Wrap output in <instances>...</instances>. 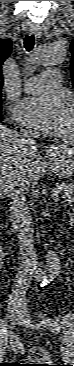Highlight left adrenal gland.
I'll return each instance as SVG.
<instances>
[{
    "label": "left adrenal gland",
    "instance_id": "left-adrenal-gland-1",
    "mask_svg": "<svg viewBox=\"0 0 74 366\" xmlns=\"http://www.w3.org/2000/svg\"><path fill=\"white\" fill-rule=\"evenodd\" d=\"M55 201H57L58 200V198H56V199H54Z\"/></svg>",
    "mask_w": 74,
    "mask_h": 366
}]
</instances>
